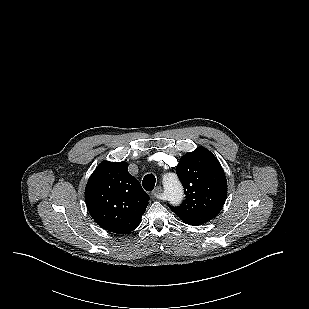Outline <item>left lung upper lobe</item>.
Masks as SVG:
<instances>
[{"label":"left lung upper lobe","instance_id":"5c2ea615","mask_svg":"<svg viewBox=\"0 0 309 309\" xmlns=\"http://www.w3.org/2000/svg\"><path fill=\"white\" fill-rule=\"evenodd\" d=\"M176 173L182 182L185 200L169 208L186 224L202 225L222 209L227 196L225 173L206 148L198 147L180 158Z\"/></svg>","mask_w":309,"mask_h":309}]
</instances>
